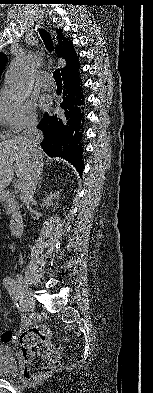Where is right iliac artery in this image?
<instances>
[{
  "instance_id": "1",
  "label": "right iliac artery",
  "mask_w": 153,
  "mask_h": 393,
  "mask_svg": "<svg viewBox=\"0 0 153 393\" xmlns=\"http://www.w3.org/2000/svg\"><path fill=\"white\" fill-rule=\"evenodd\" d=\"M3 284L7 289L10 297L14 300L17 308L24 310L23 307L25 306V300L20 291V285L16 284L15 280L11 277L4 278Z\"/></svg>"
}]
</instances>
